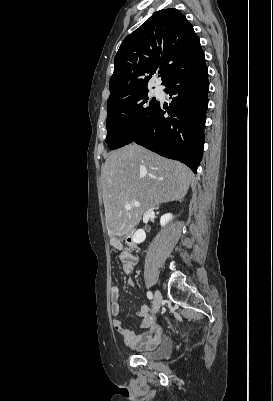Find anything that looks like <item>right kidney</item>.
Segmentation results:
<instances>
[{"label":"right kidney","mask_w":273,"mask_h":401,"mask_svg":"<svg viewBox=\"0 0 273 401\" xmlns=\"http://www.w3.org/2000/svg\"><path fill=\"white\" fill-rule=\"evenodd\" d=\"M171 219H173V215H171V213H166V215H162L160 219L161 227H165V225H167V223H169ZM133 239L135 243H143V241H145L146 239L145 231H143V229H138V231L134 233Z\"/></svg>","instance_id":"ca27d5eb"}]
</instances>
